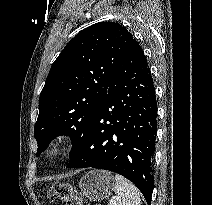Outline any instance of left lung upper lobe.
<instances>
[{"mask_svg": "<svg viewBox=\"0 0 212 205\" xmlns=\"http://www.w3.org/2000/svg\"><path fill=\"white\" fill-rule=\"evenodd\" d=\"M133 36L118 23L99 22L80 31L51 66L34 127L37 156L59 135L71 137L72 159L83 145L110 80Z\"/></svg>", "mask_w": 212, "mask_h": 205, "instance_id": "5c2ea615", "label": "left lung upper lobe"}]
</instances>
